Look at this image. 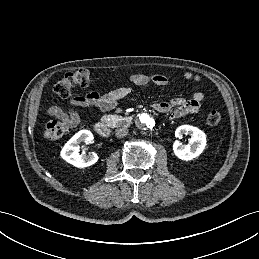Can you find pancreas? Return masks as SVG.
<instances>
[{
	"instance_id": "cf45deb5",
	"label": "pancreas",
	"mask_w": 259,
	"mask_h": 259,
	"mask_svg": "<svg viewBox=\"0 0 259 259\" xmlns=\"http://www.w3.org/2000/svg\"><path fill=\"white\" fill-rule=\"evenodd\" d=\"M103 120L110 126H115L117 123H128L127 117H119L117 115H107L103 117Z\"/></svg>"
}]
</instances>
